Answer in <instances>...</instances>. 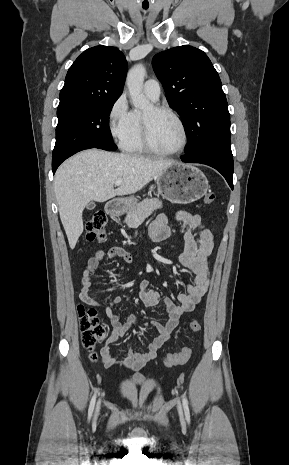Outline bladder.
<instances>
[{
    "label": "bladder",
    "mask_w": 289,
    "mask_h": 465,
    "mask_svg": "<svg viewBox=\"0 0 289 465\" xmlns=\"http://www.w3.org/2000/svg\"><path fill=\"white\" fill-rule=\"evenodd\" d=\"M129 385L141 387L145 384L144 379H132L128 382Z\"/></svg>",
    "instance_id": "1"
}]
</instances>
